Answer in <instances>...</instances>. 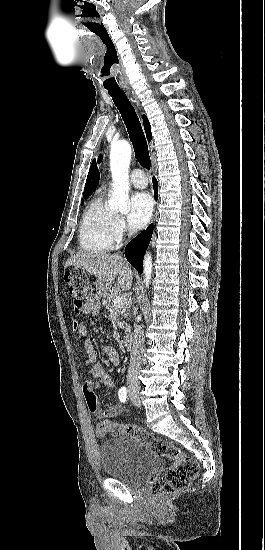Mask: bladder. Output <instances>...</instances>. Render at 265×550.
<instances>
[{"instance_id":"1","label":"bladder","mask_w":265,"mask_h":550,"mask_svg":"<svg viewBox=\"0 0 265 550\" xmlns=\"http://www.w3.org/2000/svg\"><path fill=\"white\" fill-rule=\"evenodd\" d=\"M103 472L128 485H136L158 467L159 455L135 437L117 436L99 448Z\"/></svg>"}]
</instances>
